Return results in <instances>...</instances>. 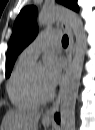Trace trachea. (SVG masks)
<instances>
[{
    "instance_id": "trachea-1",
    "label": "trachea",
    "mask_w": 95,
    "mask_h": 130,
    "mask_svg": "<svg viewBox=\"0 0 95 130\" xmlns=\"http://www.w3.org/2000/svg\"><path fill=\"white\" fill-rule=\"evenodd\" d=\"M68 43H69L68 36L64 35L63 38H62V45L63 46H68Z\"/></svg>"
}]
</instances>
